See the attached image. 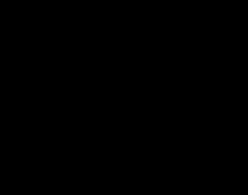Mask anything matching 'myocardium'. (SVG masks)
<instances>
[{"instance_id": "myocardium-1", "label": "myocardium", "mask_w": 248, "mask_h": 195, "mask_svg": "<svg viewBox=\"0 0 248 195\" xmlns=\"http://www.w3.org/2000/svg\"><path fill=\"white\" fill-rule=\"evenodd\" d=\"M183 67H184V52L181 51V58H180L179 67H178V70H177L174 78L168 83V85L163 90H161L158 93V95H162V94L166 93L175 85V83L178 81V79H179V77L183 71Z\"/></svg>"}]
</instances>
